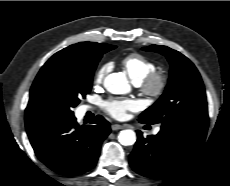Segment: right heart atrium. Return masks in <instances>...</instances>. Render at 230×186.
Wrapping results in <instances>:
<instances>
[{
  "label": "right heart atrium",
  "mask_w": 230,
  "mask_h": 186,
  "mask_svg": "<svg viewBox=\"0 0 230 186\" xmlns=\"http://www.w3.org/2000/svg\"><path fill=\"white\" fill-rule=\"evenodd\" d=\"M111 63H104L102 64L96 71L95 76H94V80L96 83H101L105 76L109 73V71L111 70Z\"/></svg>",
  "instance_id": "1"
}]
</instances>
